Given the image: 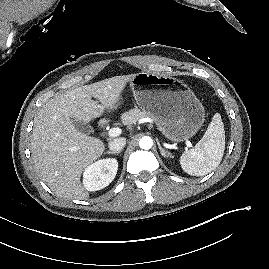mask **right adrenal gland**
I'll use <instances>...</instances> for the list:
<instances>
[{
	"mask_svg": "<svg viewBox=\"0 0 269 269\" xmlns=\"http://www.w3.org/2000/svg\"><path fill=\"white\" fill-rule=\"evenodd\" d=\"M107 154H119L121 151H107Z\"/></svg>",
	"mask_w": 269,
	"mask_h": 269,
	"instance_id": "2a0ac1e0",
	"label": "right adrenal gland"
}]
</instances>
